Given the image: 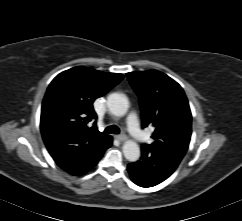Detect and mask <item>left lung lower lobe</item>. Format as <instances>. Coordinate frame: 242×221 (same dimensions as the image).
I'll return each instance as SVG.
<instances>
[{"mask_svg":"<svg viewBox=\"0 0 242 221\" xmlns=\"http://www.w3.org/2000/svg\"><path fill=\"white\" fill-rule=\"evenodd\" d=\"M140 160L128 165L132 181L141 187L155 186L167 179L178 167V161L167 154L143 145Z\"/></svg>","mask_w":242,"mask_h":221,"instance_id":"1","label":"left lung lower lobe"}]
</instances>
